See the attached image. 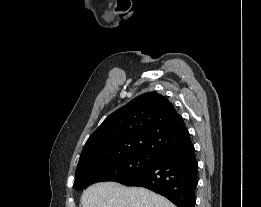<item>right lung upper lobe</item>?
<instances>
[{
	"mask_svg": "<svg viewBox=\"0 0 261 207\" xmlns=\"http://www.w3.org/2000/svg\"><path fill=\"white\" fill-rule=\"evenodd\" d=\"M190 141L183 118L157 92H148L109 115L89 137L78 166L120 156L155 157Z\"/></svg>",
	"mask_w": 261,
	"mask_h": 207,
	"instance_id": "obj_1",
	"label": "right lung upper lobe"
}]
</instances>
